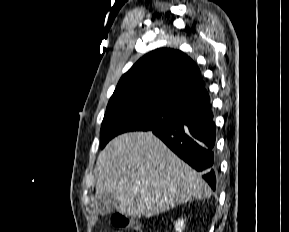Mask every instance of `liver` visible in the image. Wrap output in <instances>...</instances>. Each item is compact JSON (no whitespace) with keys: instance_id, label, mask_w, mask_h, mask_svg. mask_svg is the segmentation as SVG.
I'll return each mask as SVG.
<instances>
[{"instance_id":"liver-1","label":"liver","mask_w":289,"mask_h":232,"mask_svg":"<svg viewBox=\"0 0 289 232\" xmlns=\"http://www.w3.org/2000/svg\"><path fill=\"white\" fill-rule=\"evenodd\" d=\"M96 198L112 195L126 217H152L211 189L201 175L152 132H131L111 140L96 162Z\"/></svg>"}]
</instances>
